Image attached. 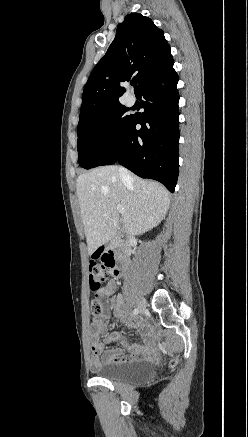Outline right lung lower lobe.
Returning a JSON list of instances; mask_svg holds the SVG:
<instances>
[{"label":"right lung lower lobe","mask_w":248,"mask_h":437,"mask_svg":"<svg viewBox=\"0 0 248 437\" xmlns=\"http://www.w3.org/2000/svg\"><path fill=\"white\" fill-rule=\"evenodd\" d=\"M171 57L135 93L145 111L132 115L112 149L93 167L119 162L174 191L179 167L178 75ZM136 124H141L136 130Z\"/></svg>","instance_id":"obj_1"}]
</instances>
